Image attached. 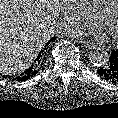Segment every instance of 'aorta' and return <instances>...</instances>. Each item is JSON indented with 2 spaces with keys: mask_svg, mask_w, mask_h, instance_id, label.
Returning a JSON list of instances; mask_svg holds the SVG:
<instances>
[{
  "mask_svg": "<svg viewBox=\"0 0 118 118\" xmlns=\"http://www.w3.org/2000/svg\"><path fill=\"white\" fill-rule=\"evenodd\" d=\"M108 53L99 47H93L90 50L89 59L94 66L100 67L107 62Z\"/></svg>",
  "mask_w": 118,
  "mask_h": 118,
  "instance_id": "762f6f07",
  "label": "aorta"
}]
</instances>
